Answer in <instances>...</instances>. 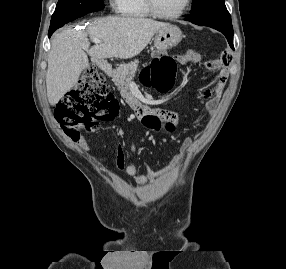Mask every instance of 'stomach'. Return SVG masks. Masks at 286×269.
Wrapping results in <instances>:
<instances>
[{"mask_svg": "<svg viewBox=\"0 0 286 269\" xmlns=\"http://www.w3.org/2000/svg\"><path fill=\"white\" fill-rule=\"evenodd\" d=\"M182 40L181 30L175 26L168 24L155 33L154 47L155 49H171Z\"/></svg>", "mask_w": 286, "mask_h": 269, "instance_id": "0dacf381", "label": "stomach"}]
</instances>
